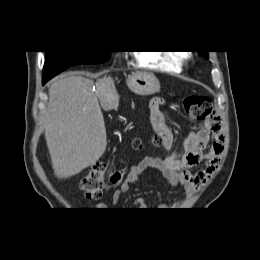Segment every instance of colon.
I'll list each match as a JSON object with an SVG mask.
<instances>
[{
    "instance_id": "obj_1",
    "label": "colon",
    "mask_w": 260,
    "mask_h": 260,
    "mask_svg": "<svg viewBox=\"0 0 260 260\" xmlns=\"http://www.w3.org/2000/svg\"><path fill=\"white\" fill-rule=\"evenodd\" d=\"M183 106L188 116L193 120H205L214 117V110L211 100L205 96H187L183 99ZM163 140L159 136L156 143ZM120 179V172L116 171L111 176V183H116ZM106 164L97 162L94 164L80 182V188L89 199H98L106 190Z\"/></svg>"
}]
</instances>
